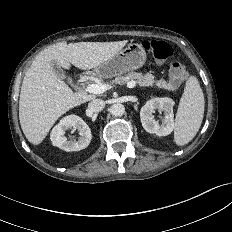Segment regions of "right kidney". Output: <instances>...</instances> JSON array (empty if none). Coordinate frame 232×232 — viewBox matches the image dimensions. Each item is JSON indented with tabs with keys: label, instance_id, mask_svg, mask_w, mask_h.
<instances>
[{
	"label": "right kidney",
	"instance_id": "ca27d5eb",
	"mask_svg": "<svg viewBox=\"0 0 232 232\" xmlns=\"http://www.w3.org/2000/svg\"><path fill=\"white\" fill-rule=\"evenodd\" d=\"M72 128L79 131L80 137L78 140L68 141L65 133ZM50 139L54 146L70 152L85 149L90 144L92 135L89 126L82 118L76 115H68L62 118L53 128Z\"/></svg>",
	"mask_w": 232,
	"mask_h": 232
}]
</instances>
